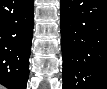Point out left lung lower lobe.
Masks as SVG:
<instances>
[{"instance_id": "0a47b994", "label": "left lung lower lobe", "mask_w": 107, "mask_h": 89, "mask_svg": "<svg viewBox=\"0 0 107 89\" xmlns=\"http://www.w3.org/2000/svg\"><path fill=\"white\" fill-rule=\"evenodd\" d=\"M63 89H107V0H61Z\"/></svg>"}]
</instances>
